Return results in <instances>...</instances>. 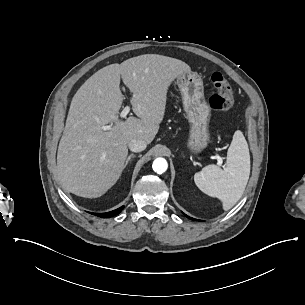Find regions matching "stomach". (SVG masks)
Masks as SVG:
<instances>
[{"instance_id":"stomach-1","label":"stomach","mask_w":305,"mask_h":305,"mask_svg":"<svg viewBox=\"0 0 305 305\" xmlns=\"http://www.w3.org/2000/svg\"><path fill=\"white\" fill-rule=\"evenodd\" d=\"M176 83L190 123L187 146L192 152L198 153L207 146L208 122L211 116V108L204 99L203 80L197 72H188L178 76Z\"/></svg>"}]
</instances>
